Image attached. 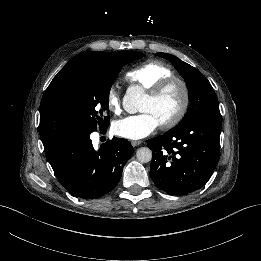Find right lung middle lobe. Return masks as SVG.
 <instances>
[{
	"instance_id": "right-lung-middle-lobe-1",
	"label": "right lung middle lobe",
	"mask_w": 261,
	"mask_h": 261,
	"mask_svg": "<svg viewBox=\"0 0 261 261\" xmlns=\"http://www.w3.org/2000/svg\"><path fill=\"white\" fill-rule=\"evenodd\" d=\"M140 52H125L122 59L112 65L95 66L76 73L71 80L69 93L75 112L73 133H92L105 129L109 118L102 119L103 112L109 106V92L123 65L143 57ZM44 150L50 148L59 139L47 132H40Z\"/></svg>"
}]
</instances>
